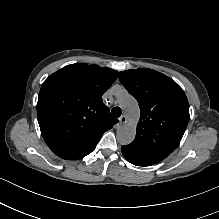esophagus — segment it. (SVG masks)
<instances>
[{"label": "esophagus", "mask_w": 219, "mask_h": 219, "mask_svg": "<svg viewBox=\"0 0 219 219\" xmlns=\"http://www.w3.org/2000/svg\"><path fill=\"white\" fill-rule=\"evenodd\" d=\"M127 122V117L125 115H122L119 117V123L120 124H125Z\"/></svg>", "instance_id": "obj_1"}]
</instances>
